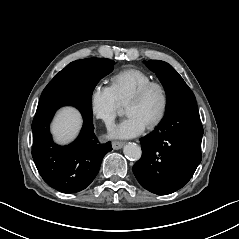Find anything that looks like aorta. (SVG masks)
Listing matches in <instances>:
<instances>
[{"label":"aorta","mask_w":239,"mask_h":239,"mask_svg":"<svg viewBox=\"0 0 239 239\" xmlns=\"http://www.w3.org/2000/svg\"><path fill=\"white\" fill-rule=\"evenodd\" d=\"M118 116H122V113H117ZM124 154L128 159H133L138 161L142 156V149L139 145L135 143H129L124 147Z\"/></svg>","instance_id":"obj_1"}]
</instances>
